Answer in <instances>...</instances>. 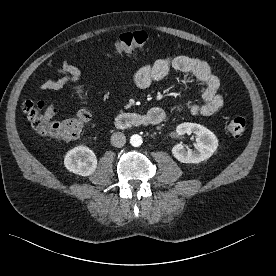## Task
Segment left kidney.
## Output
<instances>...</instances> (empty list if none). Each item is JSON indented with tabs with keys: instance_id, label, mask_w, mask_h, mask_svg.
Returning a JSON list of instances; mask_svg holds the SVG:
<instances>
[{
	"instance_id": "left-kidney-1",
	"label": "left kidney",
	"mask_w": 276,
	"mask_h": 276,
	"mask_svg": "<svg viewBox=\"0 0 276 276\" xmlns=\"http://www.w3.org/2000/svg\"><path fill=\"white\" fill-rule=\"evenodd\" d=\"M179 135L194 133L197 136L196 150H186L182 143L172 148L173 156L182 163H199L210 158L218 147L216 135L206 127L195 123H182L177 126Z\"/></svg>"
}]
</instances>
